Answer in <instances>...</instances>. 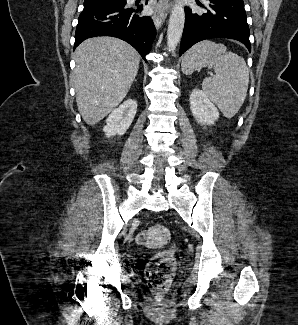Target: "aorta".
Instances as JSON below:
<instances>
[{"mask_svg":"<svg viewBox=\"0 0 298 325\" xmlns=\"http://www.w3.org/2000/svg\"><path fill=\"white\" fill-rule=\"evenodd\" d=\"M185 24V8L180 2L174 4L168 20L166 44L168 50H176L180 42Z\"/></svg>","mask_w":298,"mask_h":325,"instance_id":"1","label":"aorta"}]
</instances>
